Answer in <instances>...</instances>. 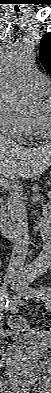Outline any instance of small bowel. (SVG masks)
Instances as JSON below:
<instances>
[{"mask_svg": "<svg viewBox=\"0 0 51 393\" xmlns=\"http://www.w3.org/2000/svg\"><path fill=\"white\" fill-rule=\"evenodd\" d=\"M26 301L20 297H11L8 303V310L11 312H17L21 306H24ZM39 337L41 335L40 331H37Z\"/></svg>", "mask_w": 51, "mask_h": 393, "instance_id": "obj_1", "label": "small bowel"}]
</instances>
